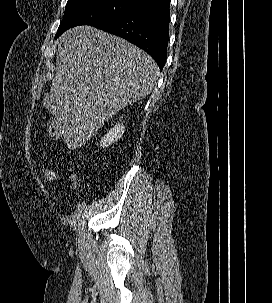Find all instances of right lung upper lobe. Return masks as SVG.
<instances>
[{
  "mask_svg": "<svg viewBox=\"0 0 272 303\" xmlns=\"http://www.w3.org/2000/svg\"><path fill=\"white\" fill-rule=\"evenodd\" d=\"M129 1L135 2L138 7H142V6H145L147 4L154 3L158 0H129Z\"/></svg>",
  "mask_w": 272,
  "mask_h": 303,
  "instance_id": "cb5924a9",
  "label": "right lung upper lobe"
}]
</instances>
